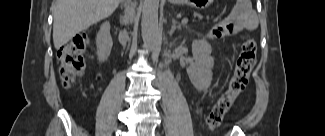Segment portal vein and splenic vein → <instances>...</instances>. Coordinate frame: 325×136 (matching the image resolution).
Masks as SVG:
<instances>
[{"mask_svg":"<svg viewBox=\"0 0 325 136\" xmlns=\"http://www.w3.org/2000/svg\"><path fill=\"white\" fill-rule=\"evenodd\" d=\"M188 22V18H183L182 19V23H187Z\"/></svg>","mask_w":325,"mask_h":136,"instance_id":"portal-vein-and-splenic-vein-1","label":"portal vein and splenic vein"}]
</instances>
